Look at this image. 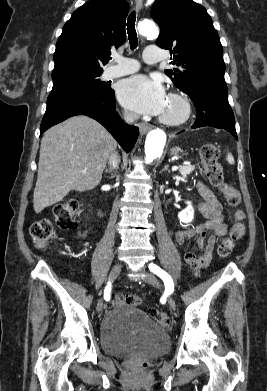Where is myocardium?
Here are the masks:
<instances>
[{"mask_svg": "<svg viewBox=\"0 0 267 391\" xmlns=\"http://www.w3.org/2000/svg\"><path fill=\"white\" fill-rule=\"evenodd\" d=\"M168 99L178 102L181 106V112L175 117L162 114L159 118L160 121L169 126H180L186 123L192 114V106L189 99L179 92L170 93Z\"/></svg>", "mask_w": 267, "mask_h": 391, "instance_id": "1", "label": "myocardium"}]
</instances>
